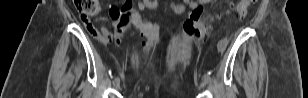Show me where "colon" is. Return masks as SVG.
<instances>
[{"label":"colon","mask_w":308,"mask_h":98,"mask_svg":"<svg viewBox=\"0 0 308 98\" xmlns=\"http://www.w3.org/2000/svg\"><path fill=\"white\" fill-rule=\"evenodd\" d=\"M257 0H242L236 6H233V14L236 18L242 19L248 13V8ZM76 9L87 29L94 31L91 23V17L100 11L98 0H74ZM139 9H132V1L127 0L119 6L113 7L110 10V16L116 18L119 22L115 26V32L101 34L94 31V35L104 42H110L115 39L117 44L122 42L125 31H139L146 37L144 56L147 57L150 51L154 48L158 33L157 24H151L149 16H139ZM212 17L205 16L204 9L198 7L194 9L189 18L184 23L185 37L191 40L200 41L206 34L211 31Z\"/></svg>","instance_id":"obj_1"}]
</instances>
